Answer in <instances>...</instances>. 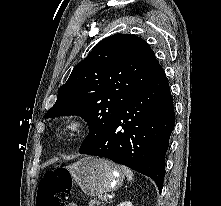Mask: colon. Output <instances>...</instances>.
Here are the masks:
<instances>
[{
  "mask_svg": "<svg viewBox=\"0 0 221 206\" xmlns=\"http://www.w3.org/2000/svg\"><path fill=\"white\" fill-rule=\"evenodd\" d=\"M71 191L70 174L67 170L50 171L40 181L37 206H68Z\"/></svg>",
  "mask_w": 221,
  "mask_h": 206,
  "instance_id": "colon-1",
  "label": "colon"
}]
</instances>
